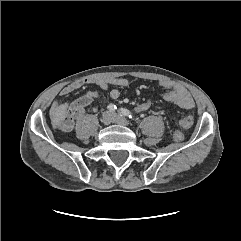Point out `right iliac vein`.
<instances>
[{
  "instance_id": "obj_1",
  "label": "right iliac vein",
  "mask_w": 241,
  "mask_h": 241,
  "mask_svg": "<svg viewBox=\"0 0 241 241\" xmlns=\"http://www.w3.org/2000/svg\"><path fill=\"white\" fill-rule=\"evenodd\" d=\"M114 120V115L111 112H105L102 116V122L104 125H109Z\"/></svg>"
}]
</instances>
